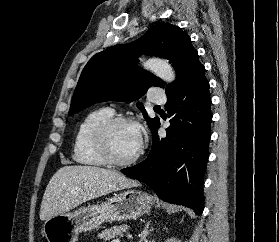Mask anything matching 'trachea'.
Returning <instances> with one entry per match:
<instances>
[{"mask_svg":"<svg viewBox=\"0 0 279 242\" xmlns=\"http://www.w3.org/2000/svg\"><path fill=\"white\" fill-rule=\"evenodd\" d=\"M155 108H160L159 106H155Z\"/></svg>","mask_w":279,"mask_h":242,"instance_id":"obj_1","label":"trachea"}]
</instances>
